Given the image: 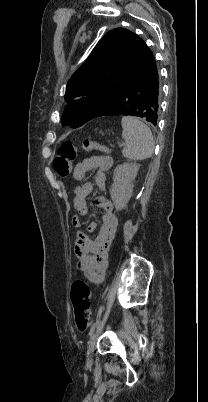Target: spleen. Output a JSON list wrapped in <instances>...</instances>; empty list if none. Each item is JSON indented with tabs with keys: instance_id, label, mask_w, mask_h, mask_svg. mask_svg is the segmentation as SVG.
<instances>
[{
	"instance_id": "spleen-1",
	"label": "spleen",
	"mask_w": 208,
	"mask_h": 402,
	"mask_svg": "<svg viewBox=\"0 0 208 402\" xmlns=\"http://www.w3.org/2000/svg\"><path fill=\"white\" fill-rule=\"evenodd\" d=\"M121 126L122 138L126 142L122 150L124 158L128 160L151 158L154 152V140L150 128L133 116H124Z\"/></svg>"
}]
</instances>
